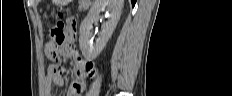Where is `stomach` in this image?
I'll list each match as a JSON object with an SVG mask.
<instances>
[{
  "label": "stomach",
  "instance_id": "1",
  "mask_svg": "<svg viewBox=\"0 0 232 96\" xmlns=\"http://www.w3.org/2000/svg\"><path fill=\"white\" fill-rule=\"evenodd\" d=\"M56 5H65L68 3V0H55Z\"/></svg>",
  "mask_w": 232,
  "mask_h": 96
}]
</instances>
